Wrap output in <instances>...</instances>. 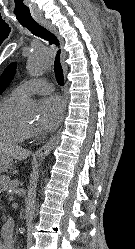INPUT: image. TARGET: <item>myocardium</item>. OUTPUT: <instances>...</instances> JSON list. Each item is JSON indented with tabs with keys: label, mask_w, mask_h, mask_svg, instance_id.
<instances>
[{
	"label": "myocardium",
	"mask_w": 135,
	"mask_h": 249,
	"mask_svg": "<svg viewBox=\"0 0 135 249\" xmlns=\"http://www.w3.org/2000/svg\"><path fill=\"white\" fill-rule=\"evenodd\" d=\"M24 126L28 129V126L26 124H24Z\"/></svg>",
	"instance_id": "f54148a6"
}]
</instances>
